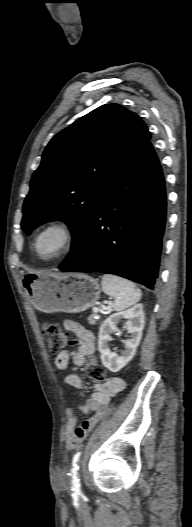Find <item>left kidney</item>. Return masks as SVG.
I'll return each instance as SVG.
<instances>
[{
    "label": "left kidney",
    "instance_id": "5707ae66",
    "mask_svg": "<svg viewBox=\"0 0 192 527\" xmlns=\"http://www.w3.org/2000/svg\"><path fill=\"white\" fill-rule=\"evenodd\" d=\"M122 319H128L126 328L131 334L130 340L124 343L125 351L121 356L110 351L108 342L111 340L110 334L116 330L117 324ZM143 306L137 304L130 309L110 315L101 325L99 330L98 350L101 354L102 364L111 372L120 371L131 361L136 353V349L142 337L144 329Z\"/></svg>",
    "mask_w": 192,
    "mask_h": 527
}]
</instances>
